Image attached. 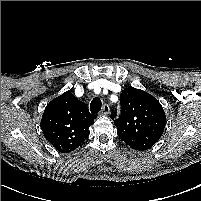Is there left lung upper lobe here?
<instances>
[{"mask_svg":"<svg viewBox=\"0 0 201 201\" xmlns=\"http://www.w3.org/2000/svg\"><path fill=\"white\" fill-rule=\"evenodd\" d=\"M120 103L121 115H110L118 136L135 150H148L160 139L166 125L162 105L149 93L132 87L123 90Z\"/></svg>","mask_w":201,"mask_h":201,"instance_id":"obj_1","label":"left lung upper lobe"}]
</instances>
